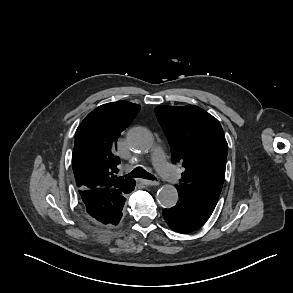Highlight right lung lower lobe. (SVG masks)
Returning <instances> with one entry per match:
<instances>
[{
    "instance_id": "98d812e1",
    "label": "right lung lower lobe",
    "mask_w": 293,
    "mask_h": 293,
    "mask_svg": "<svg viewBox=\"0 0 293 293\" xmlns=\"http://www.w3.org/2000/svg\"><path fill=\"white\" fill-rule=\"evenodd\" d=\"M132 181L122 189L97 188L79 190L88 219L101 227L112 228L120 222L126 194L133 191Z\"/></svg>"
}]
</instances>
